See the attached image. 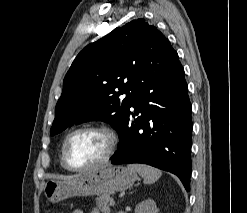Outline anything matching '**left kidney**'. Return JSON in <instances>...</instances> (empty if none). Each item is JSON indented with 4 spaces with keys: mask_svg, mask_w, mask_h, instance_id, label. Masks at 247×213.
<instances>
[{
    "mask_svg": "<svg viewBox=\"0 0 247 213\" xmlns=\"http://www.w3.org/2000/svg\"><path fill=\"white\" fill-rule=\"evenodd\" d=\"M135 213H158V208L154 200L147 199L136 206Z\"/></svg>",
    "mask_w": 247,
    "mask_h": 213,
    "instance_id": "obj_1",
    "label": "left kidney"
}]
</instances>
